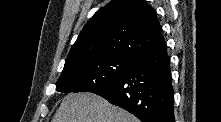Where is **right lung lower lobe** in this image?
I'll use <instances>...</instances> for the list:
<instances>
[{"mask_svg":"<svg viewBox=\"0 0 221 122\" xmlns=\"http://www.w3.org/2000/svg\"><path fill=\"white\" fill-rule=\"evenodd\" d=\"M142 122H174L169 56L162 38L112 83L91 91Z\"/></svg>","mask_w":221,"mask_h":122,"instance_id":"98d812e1","label":"right lung lower lobe"}]
</instances>
